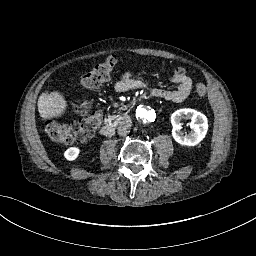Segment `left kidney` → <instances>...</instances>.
<instances>
[{
    "instance_id": "1",
    "label": "left kidney",
    "mask_w": 256,
    "mask_h": 256,
    "mask_svg": "<svg viewBox=\"0 0 256 256\" xmlns=\"http://www.w3.org/2000/svg\"><path fill=\"white\" fill-rule=\"evenodd\" d=\"M183 116L191 120V132L184 135L181 131V119ZM172 137L180 145L192 147L200 144L206 137L208 132L207 117L193 109H179L171 115Z\"/></svg>"
}]
</instances>
